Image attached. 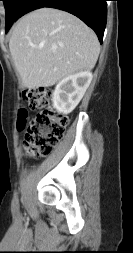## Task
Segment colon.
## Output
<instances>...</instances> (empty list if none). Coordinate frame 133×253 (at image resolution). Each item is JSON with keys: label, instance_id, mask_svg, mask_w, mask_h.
Returning <instances> with one entry per match:
<instances>
[{"label": "colon", "instance_id": "5ec220e1", "mask_svg": "<svg viewBox=\"0 0 133 253\" xmlns=\"http://www.w3.org/2000/svg\"><path fill=\"white\" fill-rule=\"evenodd\" d=\"M22 98L30 109L37 111L29 122L27 110L19 111L18 128L26 129L25 152L29 156H47L64 136L68 117L53 108L51 92L45 88L25 89Z\"/></svg>", "mask_w": 133, "mask_h": 253}]
</instances>
